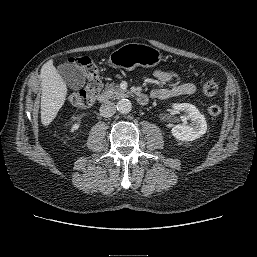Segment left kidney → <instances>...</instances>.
I'll list each match as a JSON object with an SVG mask.
<instances>
[{
  "instance_id": "5707ae66",
  "label": "left kidney",
  "mask_w": 257,
  "mask_h": 257,
  "mask_svg": "<svg viewBox=\"0 0 257 257\" xmlns=\"http://www.w3.org/2000/svg\"><path fill=\"white\" fill-rule=\"evenodd\" d=\"M176 111L185 112L186 117L191 120L189 125L178 124L171 130L172 135L181 141H193L203 136L207 131V123L204 115L192 104L179 103L174 104Z\"/></svg>"
}]
</instances>
